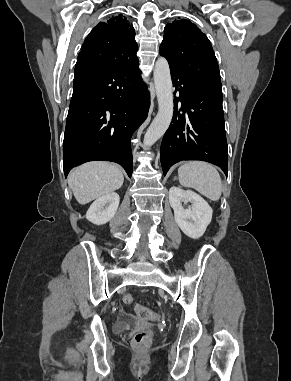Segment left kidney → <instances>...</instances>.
<instances>
[{"instance_id": "5707ae66", "label": "left kidney", "mask_w": 291, "mask_h": 381, "mask_svg": "<svg viewBox=\"0 0 291 381\" xmlns=\"http://www.w3.org/2000/svg\"><path fill=\"white\" fill-rule=\"evenodd\" d=\"M169 202L182 232L192 239L203 236L212 219L213 210L209 204L197 193L178 187L170 188ZM182 202H190L192 207L184 209Z\"/></svg>"}]
</instances>
